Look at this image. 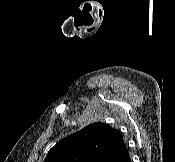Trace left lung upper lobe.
Returning <instances> with one entry per match:
<instances>
[{
	"label": "left lung upper lobe",
	"instance_id": "5c2ea615",
	"mask_svg": "<svg viewBox=\"0 0 175 162\" xmlns=\"http://www.w3.org/2000/svg\"><path fill=\"white\" fill-rule=\"evenodd\" d=\"M122 142L121 133L110 125L93 123L60 140L44 162H105Z\"/></svg>",
	"mask_w": 175,
	"mask_h": 162
}]
</instances>
